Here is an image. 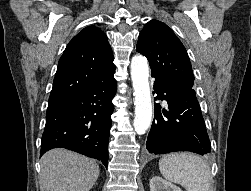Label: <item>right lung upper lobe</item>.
Listing matches in <instances>:
<instances>
[{
	"instance_id": "right-lung-upper-lobe-1",
	"label": "right lung upper lobe",
	"mask_w": 251,
	"mask_h": 191,
	"mask_svg": "<svg viewBox=\"0 0 251 191\" xmlns=\"http://www.w3.org/2000/svg\"><path fill=\"white\" fill-rule=\"evenodd\" d=\"M114 73L107 36L99 28L88 26L68 43L60 58L48 106L102 84Z\"/></svg>"
}]
</instances>
